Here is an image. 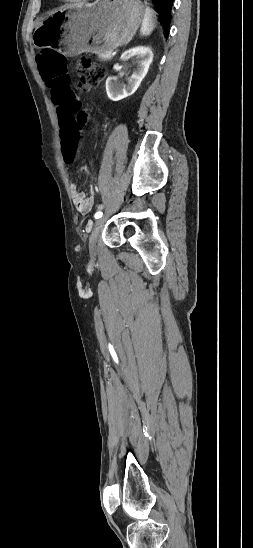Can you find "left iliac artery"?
<instances>
[{"label":"left iliac artery","instance_id":"44dca946","mask_svg":"<svg viewBox=\"0 0 253 548\" xmlns=\"http://www.w3.org/2000/svg\"><path fill=\"white\" fill-rule=\"evenodd\" d=\"M102 215H103V213L101 211H99L94 215V217H95V219H98V218H101Z\"/></svg>","mask_w":253,"mask_h":548}]
</instances>
